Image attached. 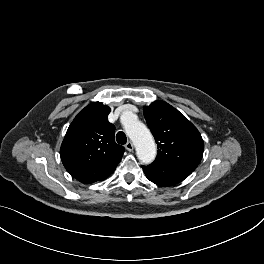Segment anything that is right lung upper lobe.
Returning <instances> with one entry per match:
<instances>
[{
    "label": "right lung upper lobe",
    "instance_id": "right-lung-upper-lobe-1",
    "mask_svg": "<svg viewBox=\"0 0 264 264\" xmlns=\"http://www.w3.org/2000/svg\"><path fill=\"white\" fill-rule=\"evenodd\" d=\"M110 110L100 102H92L75 117L62 142L63 165L84 184L107 178L125 151L115 142V127L107 119Z\"/></svg>",
    "mask_w": 264,
    "mask_h": 264
}]
</instances>
